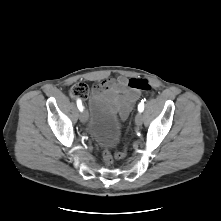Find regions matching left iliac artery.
Returning <instances> with one entry per match:
<instances>
[{
  "label": "left iliac artery",
  "mask_w": 221,
  "mask_h": 221,
  "mask_svg": "<svg viewBox=\"0 0 221 221\" xmlns=\"http://www.w3.org/2000/svg\"><path fill=\"white\" fill-rule=\"evenodd\" d=\"M144 110V105H143V102H141L139 105H138V111L139 112H142Z\"/></svg>",
  "instance_id": "left-iliac-artery-1"
}]
</instances>
